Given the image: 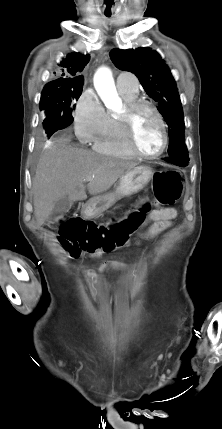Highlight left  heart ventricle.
<instances>
[{"instance_id": "b2bd125f", "label": "left heart ventricle", "mask_w": 222, "mask_h": 429, "mask_svg": "<svg viewBox=\"0 0 222 429\" xmlns=\"http://www.w3.org/2000/svg\"><path fill=\"white\" fill-rule=\"evenodd\" d=\"M134 135L138 148L146 154H154L162 146V131L155 115L147 110H141L134 123Z\"/></svg>"}]
</instances>
